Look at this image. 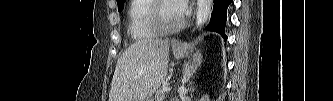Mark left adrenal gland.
<instances>
[{"mask_svg": "<svg viewBox=\"0 0 333 101\" xmlns=\"http://www.w3.org/2000/svg\"><path fill=\"white\" fill-rule=\"evenodd\" d=\"M203 62L201 53H197L196 57L193 59V62L191 65H189L185 71H184V82H188L192 75L196 72L198 67Z\"/></svg>", "mask_w": 333, "mask_h": 101, "instance_id": "obj_1", "label": "left adrenal gland"}]
</instances>
